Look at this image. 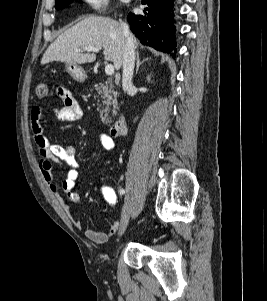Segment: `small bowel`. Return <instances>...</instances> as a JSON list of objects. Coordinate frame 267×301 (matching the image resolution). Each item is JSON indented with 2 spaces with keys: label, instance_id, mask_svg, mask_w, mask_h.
Listing matches in <instances>:
<instances>
[{
  "label": "small bowel",
  "instance_id": "obj_1",
  "mask_svg": "<svg viewBox=\"0 0 267 301\" xmlns=\"http://www.w3.org/2000/svg\"><path fill=\"white\" fill-rule=\"evenodd\" d=\"M56 93L62 102V106L55 109L57 119L60 121L81 119L83 112L72 92L65 87H58ZM44 115V108L39 105L32 108L30 115L33 138L39 151V170L51 192L60 200L64 211L69 213L68 202L76 203L80 199L76 189V181L79 176L78 163L75 158L76 150L72 144L53 143L45 136L42 127ZM98 139L105 150H111L115 146L113 138L108 134H100ZM54 163L65 169V176L61 181H57L53 177L52 166ZM60 190L65 194L66 200L61 197ZM73 224L79 229L83 227L78 219L73 220ZM118 228L119 223L115 221L107 232L86 228L84 234L90 241L103 244L117 232Z\"/></svg>",
  "mask_w": 267,
  "mask_h": 301
}]
</instances>
